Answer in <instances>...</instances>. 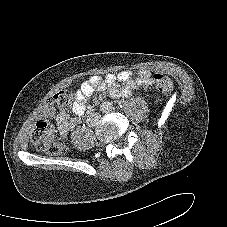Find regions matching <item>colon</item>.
Here are the masks:
<instances>
[{
  "label": "colon",
  "instance_id": "obj_1",
  "mask_svg": "<svg viewBox=\"0 0 227 227\" xmlns=\"http://www.w3.org/2000/svg\"><path fill=\"white\" fill-rule=\"evenodd\" d=\"M154 82L156 89L163 94H170L174 90L173 80L166 75L156 74ZM71 101L72 94L69 91H59L44 101L41 107L42 115L36 120L32 135V144L37 150L51 155L65 152V144L59 139L47 118L56 110L69 107Z\"/></svg>",
  "mask_w": 227,
  "mask_h": 227
}]
</instances>
